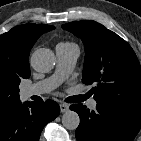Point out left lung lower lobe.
<instances>
[{
    "label": "left lung lower lobe",
    "mask_w": 141,
    "mask_h": 141,
    "mask_svg": "<svg viewBox=\"0 0 141 141\" xmlns=\"http://www.w3.org/2000/svg\"><path fill=\"white\" fill-rule=\"evenodd\" d=\"M70 109L80 117L77 141H132L141 127V113L118 107L97 103L96 111L90 112L83 104Z\"/></svg>",
    "instance_id": "0a47b994"
}]
</instances>
